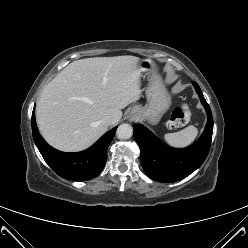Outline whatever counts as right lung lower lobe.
Listing matches in <instances>:
<instances>
[{
	"label": "right lung lower lobe",
	"instance_id": "98d812e1",
	"mask_svg": "<svg viewBox=\"0 0 248 248\" xmlns=\"http://www.w3.org/2000/svg\"><path fill=\"white\" fill-rule=\"evenodd\" d=\"M117 127L105 133L88 149L76 152H61L49 146L36 127L35 112L32 113V133L34 141L46 163L61 177L84 181L98 175L106 163V153Z\"/></svg>",
	"mask_w": 248,
	"mask_h": 248
}]
</instances>
